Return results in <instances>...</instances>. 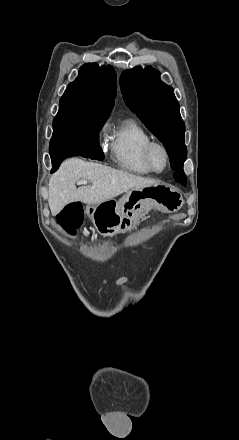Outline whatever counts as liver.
<instances>
[{
    "mask_svg": "<svg viewBox=\"0 0 239 440\" xmlns=\"http://www.w3.org/2000/svg\"><path fill=\"white\" fill-rule=\"evenodd\" d=\"M78 180H89L92 186H80L77 190L75 182ZM155 184H161L160 180L134 176L101 164L83 162L79 158H69L49 180L48 204L52 216H57L70 202L101 204L132 188H148Z\"/></svg>",
    "mask_w": 239,
    "mask_h": 440,
    "instance_id": "6515ba94",
    "label": "liver"
}]
</instances>
